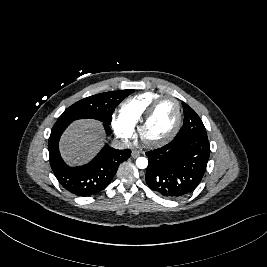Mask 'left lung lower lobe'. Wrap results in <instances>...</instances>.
<instances>
[{"mask_svg":"<svg viewBox=\"0 0 267 267\" xmlns=\"http://www.w3.org/2000/svg\"><path fill=\"white\" fill-rule=\"evenodd\" d=\"M146 183L167 198H180L194 191L206 171L210 155L208 137L174 139L165 146L146 152Z\"/></svg>","mask_w":267,"mask_h":267,"instance_id":"obj_1","label":"left lung lower lobe"}]
</instances>
